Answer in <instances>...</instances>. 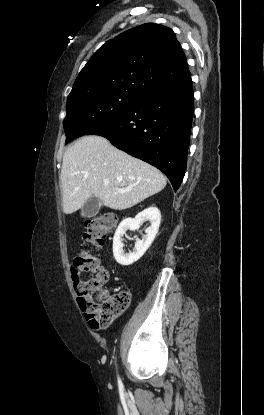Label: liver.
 <instances>
[{"instance_id": "obj_1", "label": "liver", "mask_w": 264, "mask_h": 415, "mask_svg": "<svg viewBox=\"0 0 264 415\" xmlns=\"http://www.w3.org/2000/svg\"><path fill=\"white\" fill-rule=\"evenodd\" d=\"M60 179L65 214L76 212L92 196L111 209L125 210L166 186V178L157 168L97 135L84 136L67 149Z\"/></svg>"}]
</instances>
